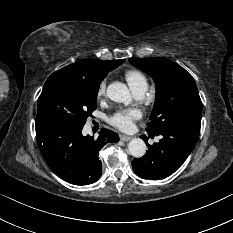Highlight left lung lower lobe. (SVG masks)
<instances>
[{
	"label": "left lung lower lobe",
	"instance_id": "1",
	"mask_svg": "<svg viewBox=\"0 0 233 233\" xmlns=\"http://www.w3.org/2000/svg\"><path fill=\"white\" fill-rule=\"evenodd\" d=\"M201 116L181 120L160 134L163 138L153 145L147 143L148 151L132 161L135 174L143 179H164L174 173L193 150L200 133Z\"/></svg>",
	"mask_w": 233,
	"mask_h": 233
}]
</instances>
